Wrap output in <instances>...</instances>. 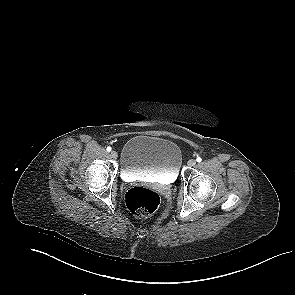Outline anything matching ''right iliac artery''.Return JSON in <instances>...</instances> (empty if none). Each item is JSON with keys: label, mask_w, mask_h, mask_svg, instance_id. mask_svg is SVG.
<instances>
[{"label": "right iliac artery", "mask_w": 295, "mask_h": 295, "mask_svg": "<svg viewBox=\"0 0 295 295\" xmlns=\"http://www.w3.org/2000/svg\"><path fill=\"white\" fill-rule=\"evenodd\" d=\"M107 151L110 152L111 151V147H107Z\"/></svg>", "instance_id": "right-iliac-artery-1"}]
</instances>
